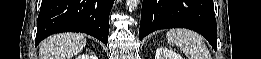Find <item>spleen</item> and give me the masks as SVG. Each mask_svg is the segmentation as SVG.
<instances>
[{"label":"spleen","mask_w":261,"mask_h":59,"mask_svg":"<svg viewBox=\"0 0 261 59\" xmlns=\"http://www.w3.org/2000/svg\"><path fill=\"white\" fill-rule=\"evenodd\" d=\"M170 45H177L188 59H210L209 50L203 38L187 29H170L166 34Z\"/></svg>","instance_id":"obj_1"}]
</instances>
